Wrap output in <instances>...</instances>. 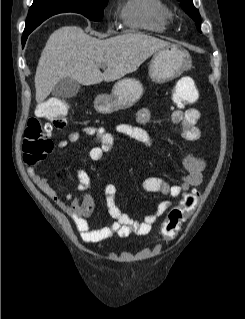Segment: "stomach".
<instances>
[{
  "mask_svg": "<svg viewBox=\"0 0 245 319\" xmlns=\"http://www.w3.org/2000/svg\"><path fill=\"white\" fill-rule=\"evenodd\" d=\"M191 67V57L177 45L156 51L149 63V76L155 83H165ZM143 95L142 83L135 78H125L112 88L111 94L99 95L94 100L95 109L101 114H111L132 107Z\"/></svg>",
  "mask_w": 245,
  "mask_h": 319,
  "instance_id": "obj_1",
  "label": "stomach"
}]
</instances>
